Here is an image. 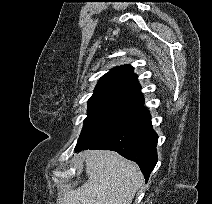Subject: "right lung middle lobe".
<instances>
[{"mask_svg":"<svg viewBox=\"0 0 212 204\" xmlns=\"http://www.w3.org/2000/svg\"><path fill=\"white\" fill-rule=\"evenodd\" d=\"M144 109L141 104L114 100L88 103L87 117L75 149L94 146L124 129Z\"/></svg>","mask_w":212,"mask_h":204,"instance_id":"obj_1","label":"right lung middle lobe"}]
</instances>
